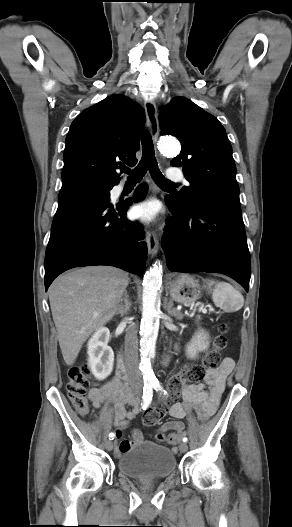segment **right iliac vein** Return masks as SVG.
Instances as JSON below:
<instances>
[{"instance_id":"63e3f726","label":"right iliac vein","mask_w":292,"mask_h":527,"mask_svg":"<svg viewBox=\"0 0 292 527\" xmlns=\"http://www.w3.org/2000/svg\"><path fill=\"white\" fill-rule=\"evenodd\" d=\"M106 449L111 451L113 449V442L111 440L106 441L105 443Z\"/></svg>"}]
</instances>
